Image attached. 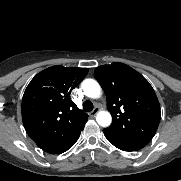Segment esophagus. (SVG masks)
Returning <instances> with one entry per match:
<instances>
[{
	"label": "esophagus",
	"mask_w": 181,
	"mask_h": 181,
	"mask_svg": "<svg viewBox=\"0 0 181 181\" xmlns=\"http://www.w3.org/2000/svg\"><path fill=\"white\" fill-rule=\"evenodd\" d=\"M98 112H99V108L96 107V108H94L93 111H91L89 113V115H90V117H95Z\"/></svg>",
	"instance_id": "34e87169"
}]
</instances>
